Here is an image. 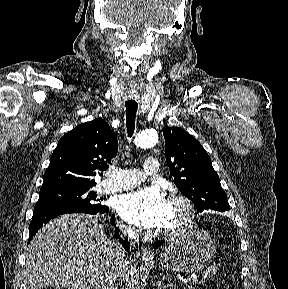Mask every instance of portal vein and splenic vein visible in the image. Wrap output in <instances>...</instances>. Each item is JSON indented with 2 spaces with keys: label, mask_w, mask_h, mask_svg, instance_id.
<instances>
[{
  "label": "portal vein and splenic vein",
  "mask_w": 288,
  "mask_h": 289,
  "mask_svg": "<svg viewBox=\"0 0 288 289\" xmlns=\"http://www.w3.org/2000/svg\"><path fill=\"white\" fill-rule=\"evenodd\" d=\"M203 276H204V277H207V273H204ZM198 279H199V277L196 276V277L192 280V282H193V283H196V282H198Z\"/></svg>",
  "instance_id": "18ae733b"
}]
</instances>
